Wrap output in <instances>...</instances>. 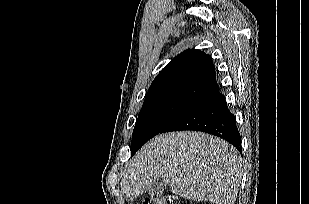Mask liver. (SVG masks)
<instances>
[{
  "instance_id": "6515ba94",
  "label": "liver",
  "mask_w": 309,
  "mask_h": 204,
  "mask_svg": "<svg viewBox=\"0 0 309 204\" xmlns=\"http://www.w3.org/2000/svg\"><path fill=\"white\" fill-rule=\"evenodd\" d=\"M163 177L173 194L194 201L234 204L242 177V159L228 142L201 132L161 134L129 161L120 183L133 200Z\"/></svg>"
}]
</instances>
